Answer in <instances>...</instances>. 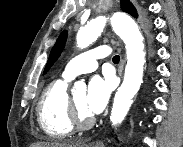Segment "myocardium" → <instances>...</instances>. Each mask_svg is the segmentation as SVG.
<instances>
[{"instance_id": "f54148a6", "label": "myocardium", "mask_w": 183, "mask_h": 147, "mask_svg": "<svg viewBox=\"0 0 183 147\" xmlns=\"http://www.w3.org/2000/svg\"><path fill=\"white\" fill-rule=\"evenodd\" d=\"M69 104H70V117L74 127H76L79 130H85L93 126L95 118L92 115L91 116L82 115V113L77 108L74 100L71 98L69 100Z\"/></svg>"}]
</instances>
